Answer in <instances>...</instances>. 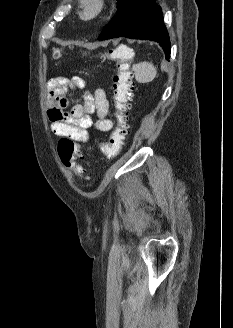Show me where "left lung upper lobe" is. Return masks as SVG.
Wrapping results in <instances>:
<instances>
[{
	"label": "left lung upper lobe",
	"instance_id": "obj_1",
	"mask_svg": "<svg viewBox=\"0 0 233 328\" xmlns=\"http://www.w3.org/2000/svg\"><path fill=\"white\" fill-rule=\"evenodd\" d=\"M125 2H126V0H117V9L119 10Z\"/></svg>",
	"mask_w": 233,
	"mask_h": 328
}]
</instances>
